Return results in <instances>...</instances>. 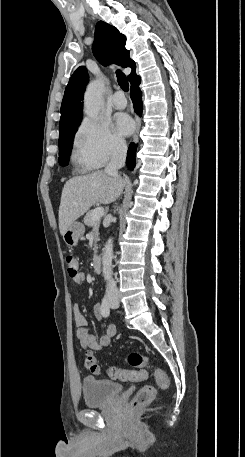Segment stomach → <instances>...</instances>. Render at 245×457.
<instances>
[{"label":"stomach","instance_id":"stomach-1","mask_svg":"<svg viewBox=\"0 0 245 457\" xmlns=\"http://www.w3.org/2000/svg\"><path fill=\"white\" fill-rule=\"evenodd\" d=\"M85 233V226L82 222H77L74 220L72 224H70L69 229L63 233V241L68 245V247H76L80 237Z\"/></svg>","mask_w":245,"mask_h":457}]
</instances>
